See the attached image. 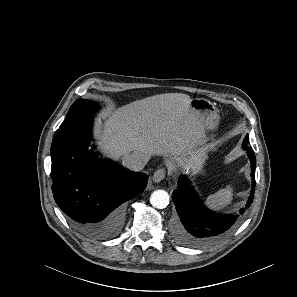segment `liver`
I'll use <instances>...</instances> for the list:
<instances>
[{
  "instance_id": "6515ba94",
  "label": "liver",
  "mask_w": 297,
  "mask_h": 297,
  "mask_svg": "<svg viewBox=\"0 0 297 297\" xmlns=\"http://www.w3.org/2000/svg\"><path fill=\"white\" fill-rule=\"evenodd\" d=\"M190 101L186 94L166 93L105 113L97 129L101 149L114 159L140 152L170 157V163L189 168L206 151L207 140L204 123Z\"/></svg>"
}]
</instances>
